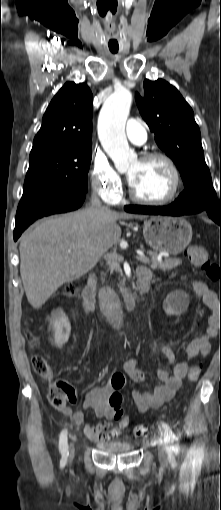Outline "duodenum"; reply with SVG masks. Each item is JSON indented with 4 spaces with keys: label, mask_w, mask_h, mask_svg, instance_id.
I'll use <instances>...</instances> for the list:
<instances>
[{
    "label": "duodenum",
    "mask_w": 221,
    "mask_h": 510,
    "mask_svg": "<svg viewBox=\"0 0 221 510\" xmlns=\"http://www.w3.org/2000/svg\"><path fill=\"white\" fill-rule=\"evenodd\" d=\"M97 275L92 272L88 284L83 293L84 308L88 313L93 312L96 303ZM151 285V275L145 268H139L136 272L135 286L128 288L121 296V301L126 310L133 309L139 297L147 292Z\"/></svg>",
    "instance_id": "obj_1"
}]
</instances>
